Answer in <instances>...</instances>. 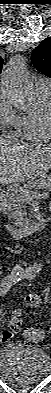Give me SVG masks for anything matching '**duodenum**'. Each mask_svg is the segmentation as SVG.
Returning <instances> with one entry per match:
<instances>
[{
  "label": "duodenum",
  "instance_id": "duodenum-1",
  "mask_svg": "<svg viewBox=\"0 0 51 393\" xmlns=\"http://www.w3.org/2000/svg\"><path fill=\"white\" fill-rule=\"evenodd\" d=\"M7 200H8L7 194L5 192H0L1 205H5ZM2 215L5 216L4 213H2ZM46 227H47V223L45 221H39L26 227H16L8 222L5 223L6 231L13 238H22V237L30 236L36 232L44 230Z\"/></svg>",
  "mask_w": 51,
  "mask_h": 393
}]
</instances>
